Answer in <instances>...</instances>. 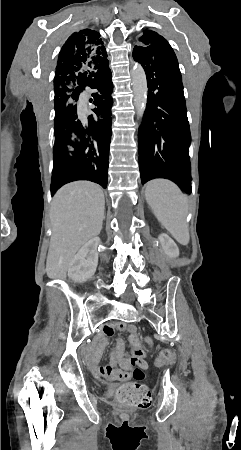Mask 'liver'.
I'll return each instance as SVG.
<instances>
[{"mask_svg":"<svg viewBox=\"0 0 241 450\" xmlns=\"http://www.w3.org/2000/svg\"><path fill=\"white\" fill-rule=\"evenodd\" d=\"M105 210L103 190L92 182H71L56 192L51 208L52 236L46 262L48 278L64 280L71 260L101 232Z\"/></svg>","mask_w":241,"mask_h":450,"instance_id":"liver-1","label":"liver"}]
</instances>
